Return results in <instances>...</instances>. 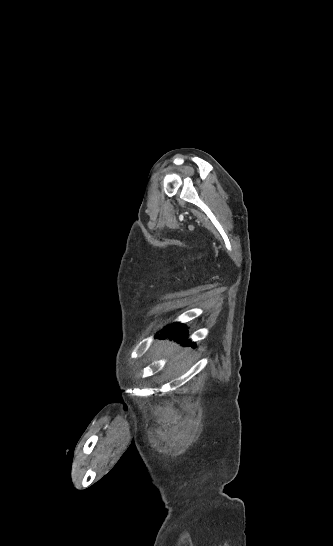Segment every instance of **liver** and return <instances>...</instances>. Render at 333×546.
Wrapping results in <instances>:
<instances>
[{"instance_id":"obj_1","label":"liver","mask_w":333,"mask_h":546,"mask_svg":"<svg viewBox=\"0 0 333 546\" xmlns=\"http://www.w3.org/2000/svg\"><path fill=\"white\" fill-rule=\"evenodd\" d=\"M160 350L163 352V355L164 356H170L171 357V360H170V366L172 365L174 359H175V350H176V345L171 343V342H167L164 344V348H160Z\"/></svg>"}]
</instances>
